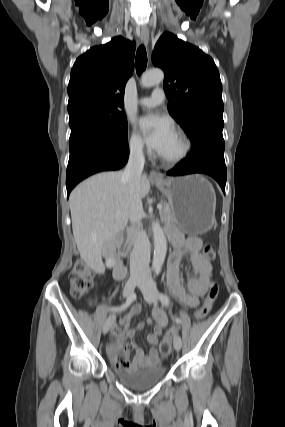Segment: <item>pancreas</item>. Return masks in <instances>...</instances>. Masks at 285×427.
<instances>
[{
    "label": "pancreas",
    "instance_id": "1",
    "mask_svg": "<svg viewBox=\"0 0 285 427\" xmlns=\"http://www.w3.org/2000/svg\"><path fill=\"white\" fill-rule=\"evenodd\" d=\"M163 208L159 211L160 217L165 222L173 221V214L171 207L166 202H163Z\"/></svg>",
    "mask_w": 285,
    "mask_h": 427
}]
</instances>
